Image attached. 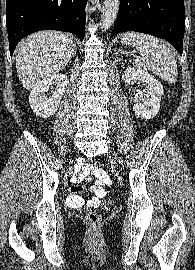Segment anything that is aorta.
<instances>
[{
    "mask_svg": "<svg viewBox=\"0 0 195 270\" xmlns=\"http://www.w3.org/2000/svg\"><path fill=\"white\" fill-rule=\"evenodd\" d=\"M118 10L119 0H104L101 17L102 31H107L114 24Z\"/></svg>",
    "mask_w": 195,
    "mask_h": 270,
    "instance_id": "aorta-1",
    "label": "aorta"
}]
</instances>
